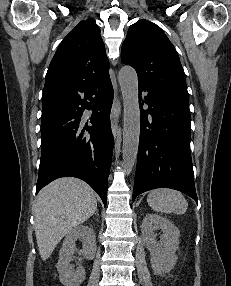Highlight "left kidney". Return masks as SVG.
<instances>
[{
    "instance_id": "left-kidney-1",
    "label": "left kidney",
    "mask_w": 231,
    "mask_h": 286,
    "mask_svg": "<svg viewBox=\"0 0 231 286\" xmlns=\"http://www.w3.org/2000/svg\"><path fill=\"white\" fill-rule=\"evenodd\" d=\"M163 232L161 240H156L155 231ZM141 234L144 245L151 255V267L156 275L169 273L177 262L176 250L180 232L168 219L157 214H147L142 221Z\"/></svg>"
}]
</instances>
